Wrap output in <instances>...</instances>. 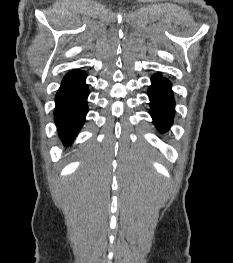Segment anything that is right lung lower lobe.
<instances>
[{"label": "right lung lower lobe", "mask_w": 233, "mask_h": 263, "mask_svg": "<svg viewBox=\"0 0 233 263\" xmlns=\"http://www.w3.org/2000/svg\"><path fill=\"white\" fill-rule=\"evenodd\" d=\"M85 78L82 71L69 72L55 97L54 121L65 146L72 143L85 122L89 94Z\"/></svg>", "instance_id": "right-lung-lower-lobe-1"}]
</instances>
